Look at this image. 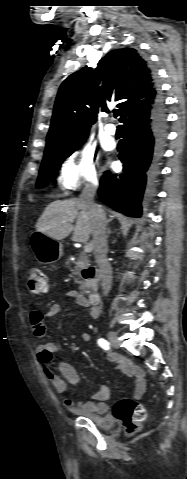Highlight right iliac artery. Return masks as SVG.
Returning <instances> with one entry per match:
<instances>
[{"label":"right iliac artery","mask_w":187,"mask_h":479,"mask_svg":"<svg viewBox=\"0 0 187 479\" xmlns=\"http://www.w3.org/2000/svg\"><path fill=\"white\" fill-rule=\"evenodd\" d=\"M98 345H99L100 347H102L103 349H105V350H109V349H110L109 342H108L107 340H105V339H102V338L99 339V340H98Z\"/></svg>","instance_id":"82829eb1"}]
</instances>
